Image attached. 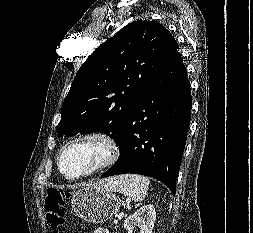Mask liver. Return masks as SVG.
Here are the masks:
<instances>
[{"label": "liver", "instance_id": "liver-1", "mask_svg": "<svg viewBox=\"0 0 253 233\" xmlns=\"http://www.w3.org/2000/svg\"><path fill=\"white\" fill-rule=\"evenodd\" d=\"M106 183H107V181H106V182L100 181V182H97L96 184L104 185V184H106Z\"/></svg>", "mask_w": 253, "mask_h": 233}]
</instances>
